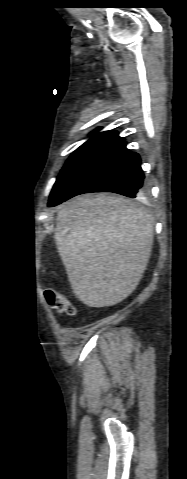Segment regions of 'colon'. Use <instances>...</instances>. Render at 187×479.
<instances>
[{"label": "colon", "mask_w": 187, "mask_h": 479, "mask_svg": "<svg viewBox=\"0 0 187 479\" xmlns=\"http://www.w3.org/2000/svg\"><path fill=\"white\" fill-rule=\"evenodd\" d=\"M46 302L58 313L73 316L77 313L75 305L71 300L61 292L54 289L44 291Z\"/></svg>", "instance_id": "obj_1"}]
</instances>
